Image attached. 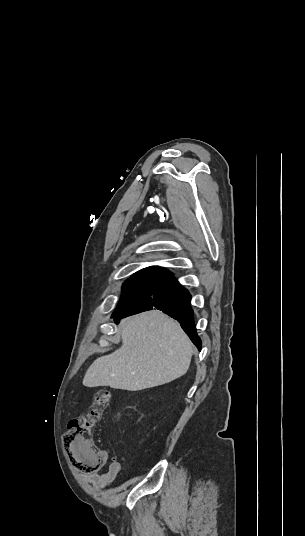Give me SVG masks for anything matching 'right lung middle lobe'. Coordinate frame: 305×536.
<instances>
[{"instance_id": "right-lung-middle-lobe-1", "label": "right lung middle lobe", "mask_w": 305, "mask_h": 536, "mask_svg": "<svg viewBox=\"0 0 305 536\" xmlns=\"http://www.w3.org/2000/svg\"><path fill=\"white\" fill-rule=\"evenodd\" d=\"M163 278H136L127 279L122 286V296L114 313H119L132 305L139 298L150 292L160 284Z\"/></svg>"}]
</instances>
